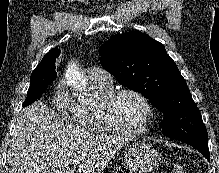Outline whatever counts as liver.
<instances>
[{"mask_svg":"<svg viewBox=\"0 0 219 173\" xmlns=\"http://www.w3.org/2000/svg\"><path fill=\"white\" fill-rule=\"evenodd\" d=\"M123 144V138L69 124L38 101L17 115L9 173H73V163L79 173H101Z\"/></svg>","mask_w":219,"mask_h":173,"instance_id":"liver-1","label":"liver"}]
</instances>
